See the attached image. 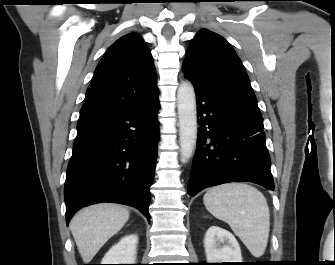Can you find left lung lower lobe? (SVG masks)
Listing matches in <instances>:
<instances>
[{
	"mask_svg": "<svg viewBox=\"0 0 335 265\" xmlns=\"http://www.w3.org/2000/svg\"><path fill=\"white\" fill-rule=\"evenodd\" d=\"M198 143L188 194L223 183L249 181L274 190L260 112L194 85Z\"/></svg>",
	"mask_w": 335,
	"mask_h": 265,
	"instance_id": "obj_1",
	"label": "left lung lower lobe"
}]
</instances>
